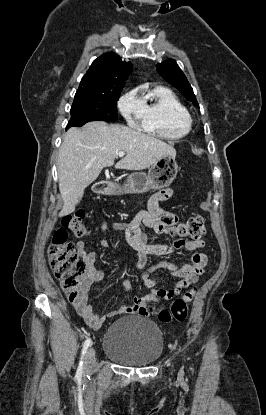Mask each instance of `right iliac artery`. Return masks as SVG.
<instances>
[{"mask_svg":"<svg viewBox=\"0 0 266 415\" xmlns=\"http://www.w3.org/2000/svg\"><path fill=\"white\" fill-rule=\"evenodd\" d=\"M90 344H91V339L88 338L84 342V345H83V349H82V352H81V360L79 362V366H78V369H77V376H81L82 375V371H83V358H84V355H85L88 347L90 346Z\"/></svg>","mask_w":266,"mask_h":415,"instance_id":"82829eb1","label":"right iliac artery"}]
</instances>
